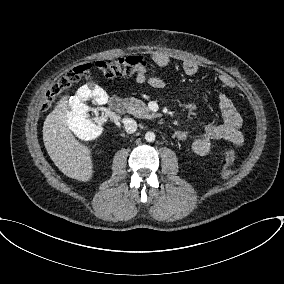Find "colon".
I'll use <instances>...</instances> for the list:
<instances>
[{
  "mask_svg": "<svg viewBox=\"0 0 284 284\" xmlns=\"http://www.w3.org/2000/svg\"><path fill=\"white\" fill-rule=\"evenodd\" d=\"M93 66L100 70L106 77L114 78L119 76H130L139 72L141 69L146 68V61L141 56H127L114 60L98 61L95 62L94 65L87 63L77 66L65 73L48 89L43 99V109L49 108L56 97L63 91L87 77ZM235 161V145L231 143V146L227 151L226 163L222 171L224 177H229L235 172Z\"/></svg>",
  "mask_w": 284,
  "mask_h": 284,
  "instance_id": "colon-1",
  "label": "colon"
}]
</instances>
